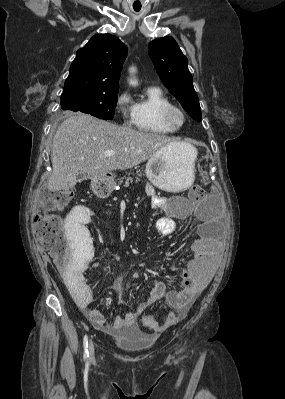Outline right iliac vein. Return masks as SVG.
Wrapping results in <instances>:
<instances>
[{
	"instance_id": "1",
	"label": "right iliac vein",
	"mask_w": 285,
	"mask_h": 399,
	"mask_svg": "<svg viewBox=\"0 0 285 399\" xmlns=\"http://www.w3.org/2000/svg\"><path fill=\"white\" fill-rule=\"evenodd\" d=\"M89 352H90V358H93L95 349H94V344H93L92 339H90V342H89Z\"/></svg>"
}]
</instances>
